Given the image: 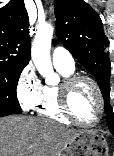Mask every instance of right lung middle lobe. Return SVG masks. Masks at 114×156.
Wrapping results in <instances>:
<instances>
[{"label":"right lung middle lobe","instance_id":"obj_1","mask_svg":"<svg viewBox=\"0 0 114 156\" xmlns=\"http://www.w3.org/2000/svg\"><path fill=\"white\" fill-rule=\"evenodd\" d=\"M24 67L0 63V117L21 113L16 88Z\"/></svg>","mask_w":114,"mask_h":156}]
</instances>
